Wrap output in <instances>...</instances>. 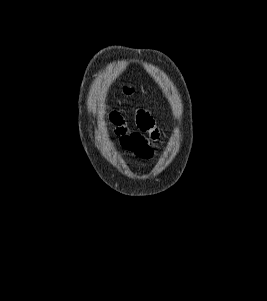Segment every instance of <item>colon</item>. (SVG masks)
Listing matches in <instances>:
<instances>
[{
	"label": "colon",
	"instance_id": "colon-1",
	"mask_svg": "<svg viewBox=\"0 0 267 301\" xmlns=\"http://www.w3.org/2000/svg\"><path fill=\"white\" fill-rule=\"evenodd\" d=\"M130 91H131V90H130L129 88H126V89H125V92H126V93H130Z\"/></svg>",
	"mask_w": 267,
	"mask_h": 301
}]
</instances>
